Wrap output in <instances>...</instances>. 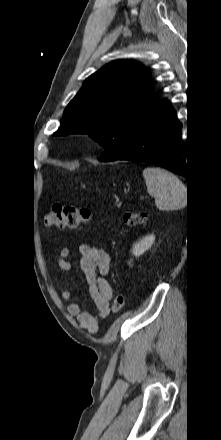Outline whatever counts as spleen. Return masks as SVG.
I'll return each mask as SVG.
<instances>
[{"label":"spleen","instance_id":"obj_1","mask_svg":"<svg viewBox=\"0 0 221 440\" xmlns=\"http://www.w3.org/2000/svg\"><path fill=\"white\" fill-rule=\"evenodd\" d=\"M147 192L155 198L156 207L162 211L176 210L186 203V187L173 173L158 167L143 171Z\"/></svg>","mask_w":221,"mask_h":440}]
</instances>
